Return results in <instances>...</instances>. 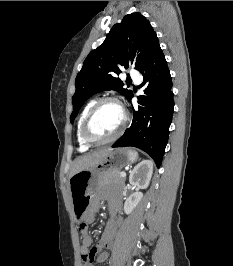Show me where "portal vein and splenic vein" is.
Here are the masks:
<instances>
[{
    "label": "portal vein and splenic vein",
    "mask_w": 233,
    "mask_h": 266,
    "mask_svg": "<svg viewBox=\"0 0 233 266\" xmlns=\"http://www.w3.org/2000/svg\"><path fill=\"white\" fill-rule=\"evenodd\" d=\"M120 176H121V177H126V173H125V172H121V173H120Z\"/></svg>",
    "instance_id": "obj_1"
}]
</instances>
